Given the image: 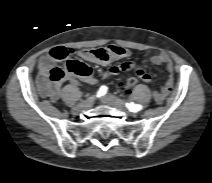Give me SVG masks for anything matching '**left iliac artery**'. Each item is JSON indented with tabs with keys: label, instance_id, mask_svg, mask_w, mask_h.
Here are the masks:
<instances>
[{
	"label": "left iliac artery",
	"instance_id": "left-iliac-artery-1",
	"mask_svg": "<svg viewBox=\"0 0 212 183\" xmlns=\"http://www.w3.org/2000/svg\"><path fill=\"white\" fill-rule=\"evenodd\" d=\"M126 107L128 108L129 111L134 112V113L137 111H140L143 108L142 105L134 104L133 102L126 103Z\"/></svg>",
	"mask_w": 212,
	"mask_h": 183
}]
</instances>
